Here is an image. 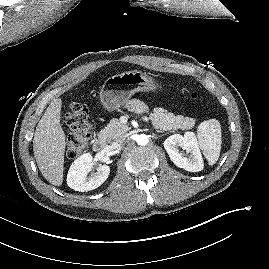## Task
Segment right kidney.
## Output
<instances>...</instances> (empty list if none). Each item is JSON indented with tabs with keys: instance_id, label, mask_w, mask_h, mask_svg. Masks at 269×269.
<instances>
[{
	"instance_id": "ca27d5eb",
	"label": "right kidney",
	"mask_w": 269,
	"mask_h": 269,
	"mask_svg": "<svg viewBox=\"0 0 269 269\" xmlns=\"http://www.w3.org/2000/svg\"><path fill=\"white\" fill-rule=\"evenodd\" d=\"M94 165L93 156L85 153L78 157L70 166L67 175V185L79 192H87L98 188L108 178L110 167L101 165L97 168L96 173L88 177V173Z\"/></svg>"
}]
</instances>
